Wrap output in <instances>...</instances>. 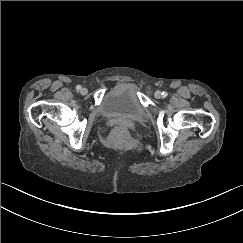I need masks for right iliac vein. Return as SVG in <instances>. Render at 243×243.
Returning <instances> with one entry per match:
<instances>
[{"label":"right iliac vein","instance_id":"obj_1","mask_svg":"<svg viewBox=\"0 0 243 243\" xmlns=\"http://www.w3.org/2000/svg\"><path fill=\"white\" fill-rule=\"evenodd\" d=\"M80 93H81L82 95H86V94L88 93V90H87L86 88H82V89L80 90Z\"/></svg>","mask_w":243,"mask_h":243}]
</instances>
